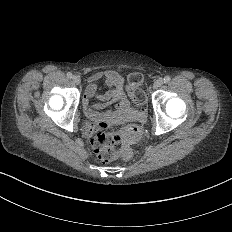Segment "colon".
<instances>
[{
  "label": "colon",
  "instance_id": "5ec220e1",
  "mask_svg": "<svg viewBox=\"0 0 232 232\" xmlns=\"http://www.w3.org/2000/svg\"><path fill=\"white\" fill-rule=\"evenodd\" d=\"M144 71H133L130 79H126V87L128 95H132L133 110L138 115H143L148 110V105L145 102L146 96L143 81ZM142 136V129L138 125H131L127 130L105 129L94 134L92 146L96 152V158L100 162L113 161L117 157L119 150L123 146L133 144Z\"/></svg>",
  "mask_w": 232,
  "mask_h": 232
}]
</instances>
